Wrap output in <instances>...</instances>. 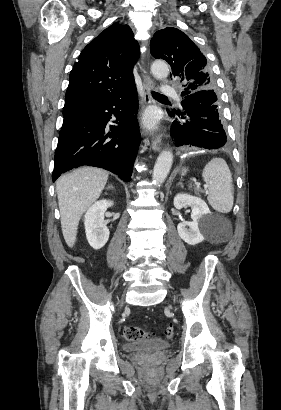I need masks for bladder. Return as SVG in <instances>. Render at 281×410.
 I'll return each instance as SVG.
<instances>
[{
    "instance_id": "obj_1",
    "label": "bladder",
    "mask_w": 281,
    "mask_h": 410,
    "mask_svg": "<svg viewBox=\"0 0 281 410\" xmlns=\"http://www.w3.org/2000/svg\"><path fill=\"white\" fill-rule=\"evenodd\" d=\"M171 344L160 339L128 341L124 345L127 352L132 353H156L169 349Z\"/></svg>"
}]
</instances>
